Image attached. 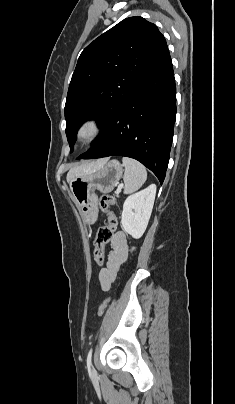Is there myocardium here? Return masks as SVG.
<instances>
[{
	"label": "myocardium",
	"instance_id": "f54148a6",
	"mask_svg": "<svg viewBox=\"0 0 235 404\" xmlns=\"http://www.w3.org/2000/svg\"><path fill=\"white\" fill-rule=\"evenodd\" d=\"M101 131V120L96 116H89L78 125L76 139L81 144H89L101 134Z\"/></svg>",
	"mask_w": 235,
	"mask_h": 404
}]
</instances>
